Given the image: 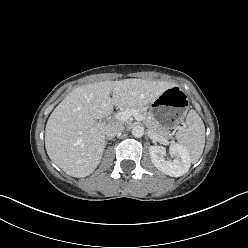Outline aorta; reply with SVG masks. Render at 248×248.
Here are the masks:
<instances>
[{
	"instance_id": "1",
	"label": "aorta",
	"mask_w": 248,
	"mask_h": 248,
	"mask_svg": "<svg viewBox=\"0 0 248 248\" xmlns=\"http://www.w3.org/2000/svg\"><path fill=\"white\" fill-rule=\"evenodd\" d=\"M144 127L142 126H134L132 129V135L136 138H140L144 135Z\"/></svg>"
}]
</instances>
